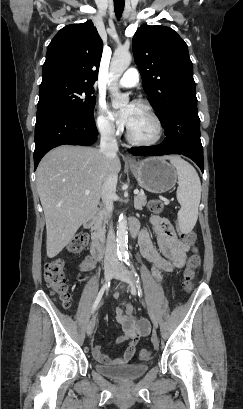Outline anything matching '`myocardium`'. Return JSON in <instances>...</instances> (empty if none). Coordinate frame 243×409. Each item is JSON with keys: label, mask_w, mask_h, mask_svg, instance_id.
I'll return each instance as SVG.
<instances>
[{"label": "myocardium", "mask_w": 243, "mask_h": 409, "mask_svg": "<svg viewBox=\"0 0 243 409\" xmlns=\"http://www.w3.org/2000/svg\"><path fill=\"white\" fill-rule=\"evenodd\" d=\"M135 105L143 107L150 115L151 119L153 120L155 124V136L150 138V139H141L138 137H135L132 135L130 132L129 128H127V138L131 143L138 144V145H143V146H152L155 144H158L164 135V128H163V123L159 117V115L156 113L154 108L151 106L150 103L144 100H137L135 102Z\"/></svg>", "instance_id": "myocardium-1"}]
</instances>
